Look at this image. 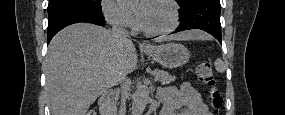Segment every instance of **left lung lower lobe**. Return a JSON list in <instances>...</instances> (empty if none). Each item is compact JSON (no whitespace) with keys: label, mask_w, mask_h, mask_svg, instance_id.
<instances>
[{"label":"left lung lower lobe","mask_w":285,"mask_h":115,"mask_svg":"<svg viewBox=\"0 0 285 115\" xmlns=\"http://www.w3.org/2000/svg\"><path fill=\"white\" fill-rule=\"evenodd\" d=\"M220 0H192L180 10V25L173 32L201 29L221 43Z\"/></svg>","instance_id":"obj_1"}]
</instances>
